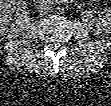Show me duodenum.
<instances>
[{"mask_svg":"<svg viewBox=\"0 0 111 106\" xmlns=\"http://www.w3.org/2000/svg\"><path fill=\"white\" fill-rule=\"evenodd\" d=\"M67 0H56L55 2L57 3H63V2H66Z\"/></svg>","mask_w":111,"mask_h":106,"instance_id":"duodenum-1","label":"duodenum"}]
</instances>
